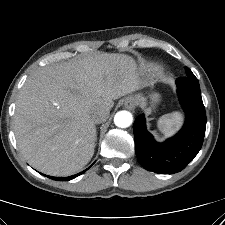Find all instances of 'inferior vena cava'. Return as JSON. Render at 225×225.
<instances>
[{
	"label": "inferior vena cava",
	"instance_id": "inferior-vena-cava-1",
	"mask_svg": "<svg viewBox=\"0 0 225 225\" xmlns=\"http://www.w3.org/2000/svg\"><path fill=\"white\" fill-rule=\"evenodd\" d=\"M109 114L110 109L107 107L98 109L92 114V120L95 124L105 122L108 119Z\"/></svg>",
	"mask_w": 225,
	"mask_h": 225
}]
</instances>
